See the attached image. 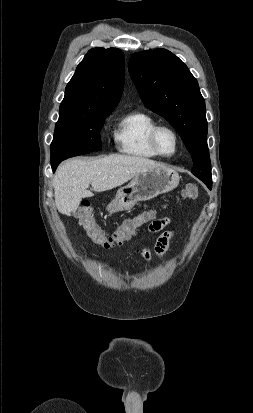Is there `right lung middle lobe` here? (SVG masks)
<instances>
[{
    "mask_svg": "<svg viewBox=\"0 0 253 413\" xmlns=\"http://www.w3.org/2000/svg\"><path fill=\"white\" fill-rule=\"evenodd\" d=\"M112 111L94 116L59 118L51 143V164L102 148L100 130Z\"/></svg>",
    "mask_w": 253,
    "mask_h": 413,
    "instance_id": "1",
    "label": "right lung middle lobe"
}]
</instances>
